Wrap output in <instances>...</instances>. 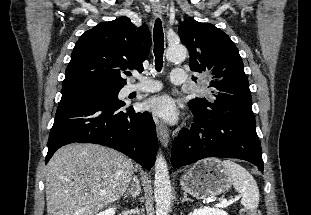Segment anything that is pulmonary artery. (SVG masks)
Listing matches in <instances>:
<instances>
[{
  "mask_svg": "<svg viewBox=\"0 0 311 215\" xmlns=\"http://www.w3.org/2000/svg\"><path fill=\"white\" fill-rule=\"evenodd\" d=\"M187 80V74L182 68H175L171 72V81L174 84H182ZM161 86L158 82L148 78H143V82L140 85H134L129 87V92L149 93L160 90Z\"/></svg>",
  "mask_w": 311,
  "mask_h": 215,
  "instance_id": "1",
  "label": "pulmonary artery"
}]
</instances>
